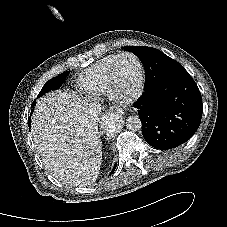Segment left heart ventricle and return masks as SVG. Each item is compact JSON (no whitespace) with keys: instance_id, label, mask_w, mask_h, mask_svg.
<instances>
[{"instance_id":"b2bd125f","label":"left heart ventricle","mask_w":227,"mask_h":227,"mask_svg":"<svg viewBox=\"0 0 227 227\" xmlns=\"http://www.w3.org/2000/svg\"><path fill=\"white\" fill-rule=\"evenodd\" d=\"M139 77V67L133 58L124 57L119 60L115 68L118 95L131 96L138 87Z\"/></svg>"}]
</instances>
